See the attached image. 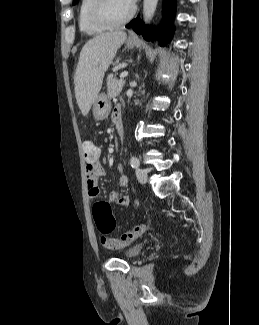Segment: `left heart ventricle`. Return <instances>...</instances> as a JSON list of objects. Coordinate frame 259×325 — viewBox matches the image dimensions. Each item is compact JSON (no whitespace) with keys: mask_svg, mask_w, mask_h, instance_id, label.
I'll list each match as a JSON object with an SVG mask.
<instances>
[{"mask_svg":"<svg viewBox=\"0 0 259 325\" xmlns=\"http://www.w3.org/2000/svg\"><path fill=\"white\" fill-rule=\"evenodd\" d=\"M131 8L126 0H109L108 10L110 14L116 18L125 16Z\"/></svg>","mask_w":259,"mask_h":325,"instance_id":"left-heart-ventricle-1","label":"left heart ventricle"}]
</instances>
